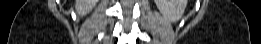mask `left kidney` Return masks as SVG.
I'll return each instance as SVG.
<instances>
[{"mask_svg":"<svg viewBox=\"0 0 261 44\" xmlns=\"http://www.w3.org/2000/svg\"><path fill=\"white\" fill-rule=\"evenodd\" d=\"M160 13L171 22H177L184 14L187 0H154Z\"/></svg>","mask_w":261,"mask_h":44,"instance_id":"left-kidney-1","label":"left kidney"}]
</instances>
